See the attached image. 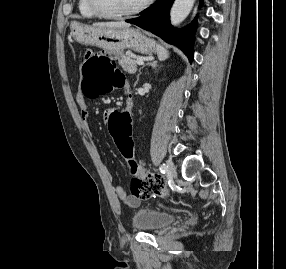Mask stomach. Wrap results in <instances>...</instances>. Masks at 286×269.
Here are the masks:
<instances>
[{
	"mask_svg": "<svg viewBox=\"0 0 286 269\" xmlns=\"http://www.w3.org/2000/svg\"><path fill=\"white\" fill-rule=\"evenodd\" d=\"M72 37L80 44L101 49H132L142 54H152L157 50L156 42L139 29H110L88 26L79 22L70 25Z\"/></svg>",
	"mask_w": 286,
	"mask_h": 269,
	"instance_id": "stomach-1",
	"label": "stomach"
}]
</instances>
